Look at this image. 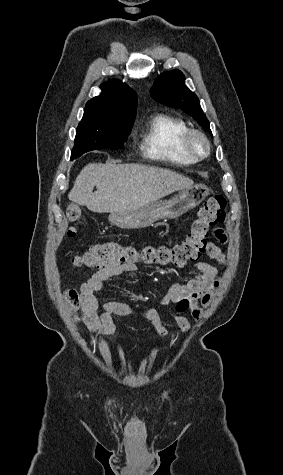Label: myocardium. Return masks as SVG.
<instances>
[{
    "label": "myocardium",
    "mask_w": 283,
    "mask_h": 475,
    "mask_svg": "<svg viewBox=\"0 0 283 475\" xmlns=\"http://www.w3.org/2000/svg\"><path fill=\"white\" fill-rule=\"evenodd\" d=\"M199 139L204 144V150H198L194 146V140ZM178 152H183L186 156L195 159L201 160L205 159L210 155L211 144L207 136L197 128H189L179 139L177 145L174 147ZM161 156L172 162H177L179 157L176 153L170 151L168 146L163 147Z\"/></svg>",
    "instance_id": "myocardium-1"
}]
</instances>
